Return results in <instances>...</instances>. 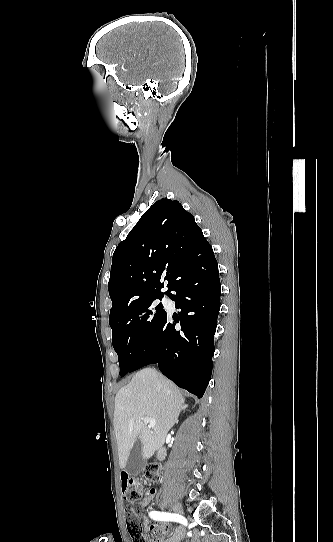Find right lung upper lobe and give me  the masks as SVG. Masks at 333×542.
Instances as JSON below:
<instances>
[{"label":"right lung upper lobe","instance_id":"obj_1","mask_svg":"<svg viewBox=\"0 0 333 542\" xmlns=\"http://www.w3.org/2000/svg\"><path fill=\"white\" fill-rule=\"evenodd\" d=\"M205 240L191 213L176 200L162 198L139 219L115 249L108 283L109 320L163 297L179 279L177 254Z\"/></svg>","mask_w":333,"mask_h":542}]
</instances>
